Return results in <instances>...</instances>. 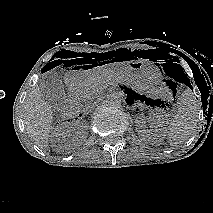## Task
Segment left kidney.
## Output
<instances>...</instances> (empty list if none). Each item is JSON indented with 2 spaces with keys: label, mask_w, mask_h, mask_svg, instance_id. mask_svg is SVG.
<instances>
[{
  "label": "left kidney",
  "mask_w": 213,
  "mask_h": 213,
  "mask_svg": "<svg viewBox=\"0 0 213 213\" xmlns=\"http://www.w3.org/2000/svg\"><path fill=\"white\" fill-rule=\"evenodd\" d=\"M153 119L155 121V128L153 130L147 129L144 118H137V132L138 135L143 139H160L162 138L167 130V117L161 111L153 112Z\"/></svg>",
  "instance_id": "1"
}]
</instances>
